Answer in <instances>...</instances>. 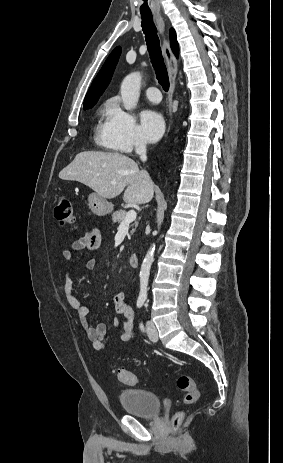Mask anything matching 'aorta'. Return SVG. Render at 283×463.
I'll use <instances>...</instances> for the list:
<instances>
[{
    "label": "aorta",
    "mask_w": 283,
    "mask_h": 463,
    "mask_svg": "<svg viewBox=\"0 0 283 463\" xmlns=\"http://www.w3.org/2000/svg\"><path fill=\"white\" fill-rule=\"evenodd\" d=\"M142 76L140 72H133L127 75L122 81L120 92L123 106L126 110L134 109L138 103L140 96ZM155 245H152L148 250L140 269V292L139 299L147 298L148 282L151 265L154 260Z\"/></svg>",
    "instance_id": "aorta-1"
}]
</instances>
